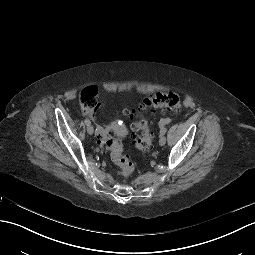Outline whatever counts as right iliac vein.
I'll return each instance as SVG.
<instances>
[{"instance_id": "1", "label": "right iliac vein", "mask_w": 255, "mask_h": 255, "mask_svg": "<svg viewBox=\"0 0 255 255\" xmlns=\"http://www.w3.org/2000/svg\"><path fill=\"white\" fill-rule=\"evenodd\" d=\"M87 132H88L89 134H93L94 128H93L92 125H88V126H87Z\"/></svg>"}]
</instances>
